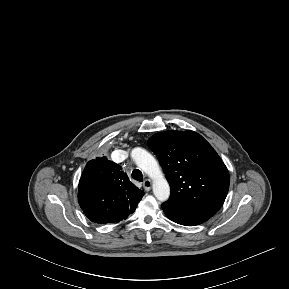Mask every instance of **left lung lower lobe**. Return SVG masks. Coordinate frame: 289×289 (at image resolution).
I'll list each match as a JSON object with an SVG mask.
<instances>
[{"instance_id": "1", "label": "left lung lower lobe", "mask_w": 289, "mask_h": 289, "mask_svg": "<svg viewBox=\"0 0 289 289\" xmlns=\"http://www.w3.org/2000/svg\"><path fill=\"white\" fill-rule=\"evenodd\" d=\"M162 208L169 219L185 226L199 225L212 217L207 213L185 206L174 205L167 201L162 204Z\"/></svg>"}]
</instances>
